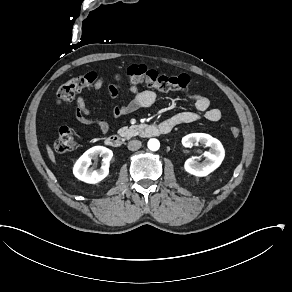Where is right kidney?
<instances>
[{
  "mask_svg": "<svg viewBox=\"0 0 292 292\" xmlns=\"http://www.w3.org/2000/svg\"><path fill=\"white\" fill-rule=\"evenodd\" d=\"M102 157V165L98 170L88 169L92 159ZM113 157V152L103 146H95L81 155L73 166V175L89 184H97L109 175V162Z\"/></svg>",
  "mask_w": 292,
  "mask_h": 292,
  "instance_id": "obj_1",
  "label": "right kidney"
}]
</instances>
